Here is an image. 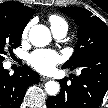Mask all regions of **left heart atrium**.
Instances as JSON below:
<instances>
[{"label":"left heart atrium","mask_w":108,"mask_h":108,"mask_svg":"<svg viewBox=\"0 0 108 108\" xmlns=\"http://www.w3.org/2000/svg\"><path fill=\"white\" fill-rule=\"evenodd\" d=\"M61 57L52 50H35L28 56L31 66L41 73H50L60 63Z\"/></svg>","instance_id":"39dd6f15"}]
</instances>
